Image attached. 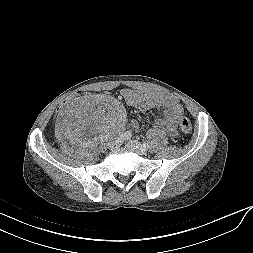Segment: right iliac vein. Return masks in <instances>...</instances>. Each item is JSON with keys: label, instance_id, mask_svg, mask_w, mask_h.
I'll list each match as a JSON object with an SVG mask.
<instances>
[{"label": "right iliac vein", "instance_id": "63e3f726", "mask_svg": "<svg viewBox=\"0 0 253 253\" xmlns=\"http://www.w3.org/2000/svg\"><path fill=\"white\" fill-rule=\"evenodd\" d=\"M122 141H123V139H122L121 136L118 137V138H116V140L113 141V142L111 143L110 148H111V149H116V148H118V147L121 145Z\"/></svg>", "mask_w": 253, "mask_h": 253}]
</instances>
